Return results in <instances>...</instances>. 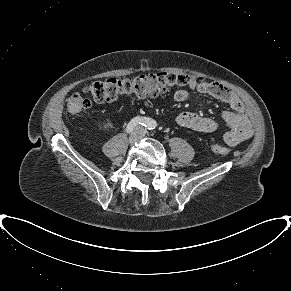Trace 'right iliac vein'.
<instances>
[{
  "mask_svg": "<svg viewBox=\"0 0 291 291\" xmlns=\"http://www.w3.org/2000/svg\"><path fill=\"white\" fill-rule=\"evenodd\" d=\"M138 140V134L136 132L132 133L129 137V143L132 145Z\"/></svg>",
  "mask_w": 291,
  "mask_h": 291,
  "instance_id": "obj_1",
  "label": "right iliac vein"
}]
</instances>
